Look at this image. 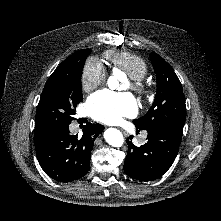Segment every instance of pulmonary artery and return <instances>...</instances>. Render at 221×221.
<instances>
[{
  "mask_svg": "<svg viewBox=\"0 0 221 221\" xmlns=\"http://www.w3.org/2000/svg\"><path fill=\"white\" fill-rule=\"evenodd\" d=\"M146 138V134H143L142 136V140H144Z\"/></svg>",
  "mask_w": 221,
  "mask_h": 221,
  "instance_id": "obj_1",
  "label": "pulmonary artery"
}]
</instances>
